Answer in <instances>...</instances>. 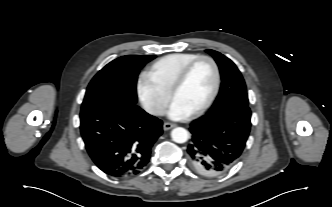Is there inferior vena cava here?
I'll list each match as a JSON object with an SVG mask.
<instances>
[{"mask_svg": "<svg viewBox=\"0 0 332 207\" xmlns=\"http://www.w3.org/2000/svg\"><path fill=\"white\" fill-rule=\"evenodd\" d=\"M144 109L146 112L152 115H164L166 112L162 106L145 105Z\"/></svg>", "mask_w": 332, "mask_h": 207, "instance_id": "1", "label": "inferior vena cava"}]
</instances>
